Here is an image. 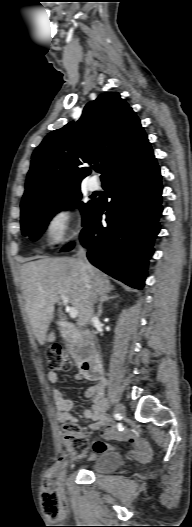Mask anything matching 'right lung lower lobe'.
Segmentation results:
<instances>
[{
  "instance_id": "obj_1",
  "label": "right lung lower lobe",
  "mask_w": 192,
  "mask_h": 527,
  "mask_svg": "<svg viewBox=\"0 0 192 527\" xmlns=\"http://www.w3.org/2000/svg\"><path fill=\"white\" fill-rule=\"evenodd\" d=\"M102 184L112 201L107 207L93 202L82 224L81 243L88 249L87 257L94 266L141 289L162 213L160 169L148 140L109 173ZM104 211L106 225L101 223ZM73 246L70 243L62 251Z\"/></svg>"
}]
</instances>
